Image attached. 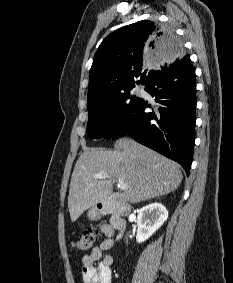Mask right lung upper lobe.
I'll return each instance as SVG.
<instances>
[{
	"label": "right lung upper lobe",
	"instance_id": "1",
	"mask_svg": "<svg viewBox=\"0 0 233 283\" xmlns=\"http://www.w3.org/2000/svg\"><path fill=\"white\" fill-rule=\"evenodd\" d=\"M182 48L172 31L153 21L119 28L102 41L94 56L89 72L88 106L135 86L138 76L141 78L136 83L147 85L184 55H190V50Z\"/></svg>",
	"mask_w": 233,
	"mask_h": 283
}]
</instances>
